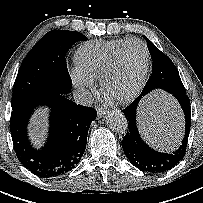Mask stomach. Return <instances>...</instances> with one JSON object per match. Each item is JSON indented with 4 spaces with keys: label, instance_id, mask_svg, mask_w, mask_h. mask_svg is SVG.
<instances>
[{
    "label": "stomach",
    "instance_id": "stomach-1",
    "mask_svg": "<svg viewBox=\"0 0 203 203\" xmlns=\"http://www.w3.org/2000/svg\"><path fill=\"white\" fill-rule=\"evenodd\" d=\"M168 102H170V101L168 100ZM153 103H154V105H152ZM171 103H172V101H171ZM150 106H154L155 108H158V107L162 108V106H164V104L163 103L160 104L159 101H157L155 98H151L150 101L145 103L142 108H144L145 112L147 113V111H149L148 107H150Z\"/></svg>",
    "mask_w": 203,
    "mask_h": 203
}]
</instances>
